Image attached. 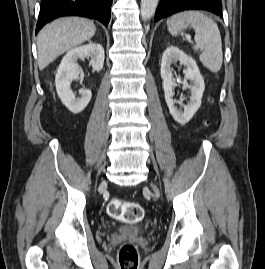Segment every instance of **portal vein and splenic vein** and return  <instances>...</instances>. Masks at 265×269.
<instances>
[{"label": "portal vein and splenic vein", "instance_id": "obj_1", "mask_svg": "<svg viewBox=\"0 0 265 269\" xmlns=\"http://www.w3.org/2000/svg\"><path fill=\"white\" fill-rule=\"evenodd\" d=\"M187 37H188V39L190 40V36H189V35H187Z\"/></svg>", "mask_w": 265, "mask_h": 269}]
</instances>
